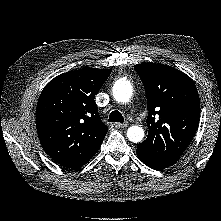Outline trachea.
<instances>
[{
  "label": "trachea",
  "mask_w": 221,
  "mask_h": 221,
  "mask_svg": "<svg viewBox=\"0 0 221 221\" xmlns=\"http://www.w3.org/2000/svg\"><path fill=\"white\" fill-rule=\"evenodd\" d=\"M108 121L109 122H120V123H123L124 122V117H123V115L119 111L115 110V111H112L110 113Z\"/></svg>",
  "instance_id": "1"
}]
</instances>
